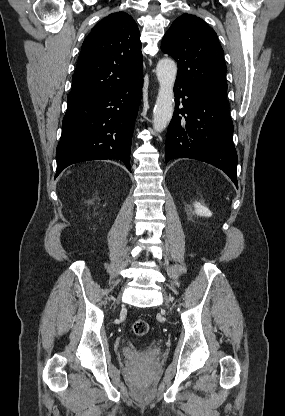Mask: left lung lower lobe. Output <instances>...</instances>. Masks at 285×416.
<instances>
[{"label":"left lung lower lobe","instance_id":"obj_1","mask_svg":"<svg viewBox=\"0 0 285 416\" xmlns=\"http://www.w3.org/2000/svg\"><path fill=\"white\" fill-rule=\"evenodd\" d=\"M174 94L176 110L167 131L166 162L176 158L207 162L223 170L238 188L234 127L227 101L205 96L179 82H175Z\"/></svg>","mask_w":285,"mask_h":416}]
</instances>
